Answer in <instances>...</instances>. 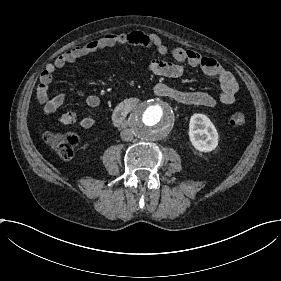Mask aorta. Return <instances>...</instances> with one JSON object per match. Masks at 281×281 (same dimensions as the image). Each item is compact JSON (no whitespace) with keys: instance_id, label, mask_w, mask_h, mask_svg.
I'll return each mask as SVG.
<instances>
[{"instance_id":"1","label":"aorta","mask_w":281,"mask_h":281,"mask_svg":"<svg viewBox=\"0 0 281 281\" xmlns=\"http://www.w3.org/2000/svg\"><path fill=\"white\" fill-rule=\"evenodd\" d=\"M129 124L138 138L156 141L169 134L174 125V115L168 106L148 100L136 106L129 117Z\"/></svg>"}]
</instances>
